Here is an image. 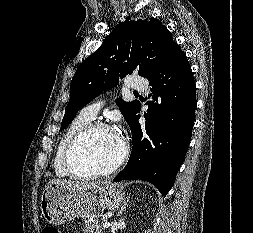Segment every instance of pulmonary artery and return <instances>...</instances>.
Returning a JSON list of instances; mask_svg holds the SVG:
<instances>
[{
  "instance_id": "obj_1",
  "label": "pulmonary artery",
  "mask_w": 253,
  "mask_h": 233,
  "mask_svg": "<svg viewBox=\"0 0 253 233\" xmlns=\"http://www.w3.org/2000/svg\"><path fill=\"white\" fill-rule=\"evenodd\" d=\"M128 87L137 92H143L147 89L148 87V82L147 80L144 79H139V78H132L128 80ZM104 105V102L102 100L95 101L87 106H85L80 114L90 118L94 119L98 113V111L101 109V107Z\"/></svg>"
}]
</instances>
